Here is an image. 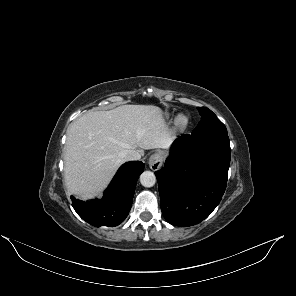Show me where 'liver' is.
Returning <instances> with one entry per match:
<instances>
[{"label":"liver","instance_id":"liver-1","mask_svg":"<svg viewBox=\"0 0 296 296\" xmlns=\"http://www.w3.org/2000/svg\"><path fill=\"white\" fill-rule=\"evenodd\" d=\"M170 135L162 110L153 105H122L90 111L67 131L64 177L68 191L89 199L101 191L124 163L122 152L168 148Z\"/></svg>","mask_w":296,"mask_h":296}]
</instances>
